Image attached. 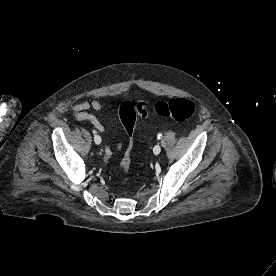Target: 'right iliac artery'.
I'll return each instance as SVG.
<instances>
[{
	"label": "right iliac artery",
	"mask_w": 276,
	"mask_h": 276,
	"mask_svg": "<svg viewBox=\"0 0 276 276\" xmlns=\"http://www.w3.org/2000/svg\"><path fill=\"white\" fill-rule=\"evenodd\" d=\"M93 133L95 134V133H96V131H95V130H93ZM95 143H96V144H100V143H101V138L97 139V140L95 141Z\"/></svg>",
	"instance_id": "obj_1"
}]
</instances>
